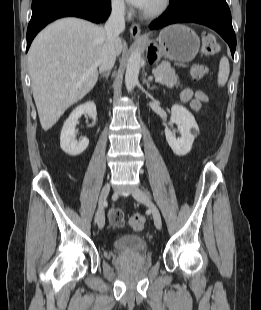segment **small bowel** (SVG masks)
<instances>
[{
  "instance_id": "c3829d8e",
  "label": "small bowel",
  "mask_w": 261,
  "mask_h": 310,
  "mask_svg": "<svg viewBox=\"0 0 261 310\" xmlns=\"http://www.w3.org/2000/svg\"><path fill=\"white\" fill-rule=\"evenodd\" d=\"M180 98L183 103L190 106V108H192L194 111H199L208 101L207 96L203 92L193 91L189 88L182 90ZM110 222L112 223V221Z\"/></svg>"
}]
</instances>
